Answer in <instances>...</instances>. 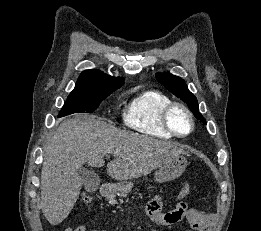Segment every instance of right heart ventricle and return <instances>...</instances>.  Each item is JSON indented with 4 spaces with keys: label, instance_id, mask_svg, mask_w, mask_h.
<instances>
[{
    "label": "right heart ventricle",
    "instance_id": "right-heart-ventricle-1",
    "mask_svg": "<svg viewBox=\"0 0 261 231\" xmlns=\"http://www.w3.org/2000/svg\"><path fill=\"white\" fill-rule=\"evenodd\" d=\"M172 103L165 94L158 91H145L135 96L123 109L124 124L143 135L171 139L162 124L163 110Z\"/></svg>",
    "mask_w": 261,
    "mask_h": 231
}]
</instances>
